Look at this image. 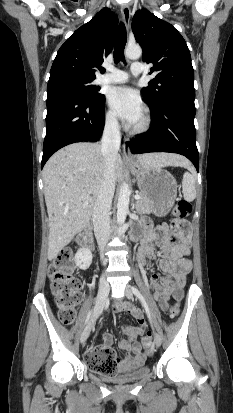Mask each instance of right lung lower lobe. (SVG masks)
Segmentation results:
<instances>
[{
  "instance_id": "1",
  "label": "right lung lower lobe",
  "mask_w": 233,
  "mask_h": 413,
  "mask_svg": "<svg viewBox=\"0 0 233 413\" xmlns=\"http://www.w3.org/2000/svg\"><path fill=\"white\" fill-rule=\"evenodd\" d=\"M104 105L105 99L95 104L70 92L49 94L41 168L53 153L68 144L97 141L105 122Z\"/></svg>"
}]
</instances>
